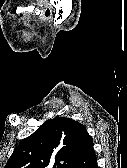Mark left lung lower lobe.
I'll list each match as a JSON object with an SVG mask.
<instances>
[{
	"instance_id": "obj_1",
	"label": "left lung lower lobe",
	"mask_w": 127,
	"mask_h": 168,
	"mask_svg": "<svg viewBox=\"0 0 127 168\" xmlns=\"http://www.w3.org/2000/svg\"><path fill=\"white\" fill-rule=\"evenodd\" d=\"M74 168H97L93 140L91 137L84 142Z\"/></svg>"
}]
</instances>
